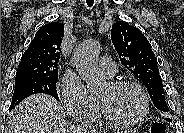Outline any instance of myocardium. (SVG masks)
I'll list each match as a JSON object with an SVG mask.
<instances>
[{"label":"myocardium","instance_id":"f54148a6","mask_svg":"<svg viewBox=\"0 0 184 133\" xmlns=\"http://www.w3.org/2000/svg\"><path fill=\"white\" fill-rule=\"evenodd\" d=\"M109 85L115 89L124 88V87L135 88L142 98V110L139 113V115L134 117V118L120 119V118H116V117L111 116L106 111V109L103 107L101 102L98 100V105H99V109H100L102 117L107 122H109L115 126H133V125H137L138 123L143 121L145 119V117L147 116L149 109H150L149 97H148L146 90L143 88V86L140 83H138L137 81L126 80V79L111 81V82H109Z\"/></svg>","mask_w":184,"mask_h":133}]
</instances>
